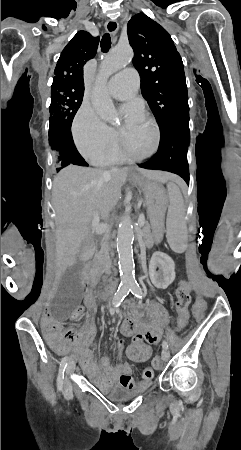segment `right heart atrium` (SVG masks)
Wrapping results in <instances>:
<instances>
[{
    "instance_id": "right-heart-atrium-1",
    "label": "right heart atrium",
    "mask_w": 241,
    "mask_h": 450,
    "mask_svg": "<svg viewBox=\"0 0 241 450\" xmlns=\"http://www.w3.org/2000/svg\"><path fill=\"white\" fill-rule=\"evenodd\" d=\"M73 141L79 154L87 160H101L114 151L113 133L92 106L82 104L72 121Z\"/></svg>"
}]
</instances>
